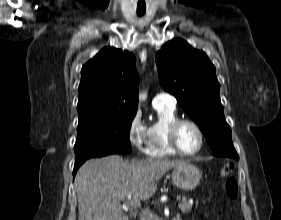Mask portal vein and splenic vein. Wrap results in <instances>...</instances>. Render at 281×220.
Wrapping results in <instances>:
<instances>
[{
    "instance_id": "1",
    "label": "portal vein and splenic vein",
    "mask_w": 281,
    "mask_h": 220,
    "mask_svg": "<svg viewBox=\"0 0 281 220\" xmlns=\"http://www.w3.org/2000/svg\"><path fill=\"white\" fill-rule=\"evenodd\" d=\"M126 199H127L128 201H130V204H131L133 207L140 206V201H139V200L132 199L131 195H128V196L126 197ZM180 199H181L180 196H177V197H176V201H179Z\"/></svg>"
}]
</instances>
